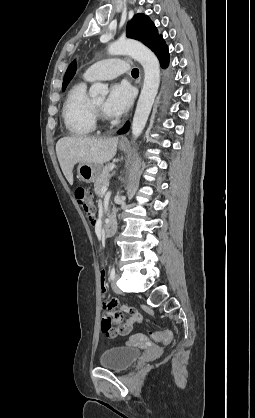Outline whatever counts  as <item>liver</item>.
I'll use <instances>...</instances> for the list:
<instances>
[{"label":"liver","mask_w":255,"mask_h":418,"mask_svg":"<svg viewBox=\"0 0 255 418\" xmlns=\"http://www.w3.org/2000/svg\"><path fill=\"white\" fill-rule=\"evenodd\" d=\"M117 137L106 139L69 136L61 138L56 144V154L64 176L73 184V168L77 163H95L103 165L116 154Z\"/></svg>","instance_id":"liver-1"}]
</instances>
